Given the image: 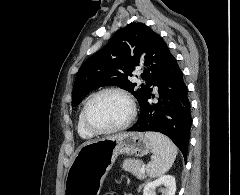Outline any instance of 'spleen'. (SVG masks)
<instances>
[{
    "instance_id": "obj_1",
    "label": "spleen",
    "mask_w": 240,
    "mask_h": 195,
    "mask_svg": "<svg viewBox=\"0 0 240 195\" xmlns=\"http://www.w3.org/2000/svg\"><path fill=\"white\" fill-rule=\"evenodd\" d=\"M146 137L151 141L153 159L146 165L147 175L149 177H160L172 167L178 147L160 131H146Z\"/></svg>"
}]
</instances>
